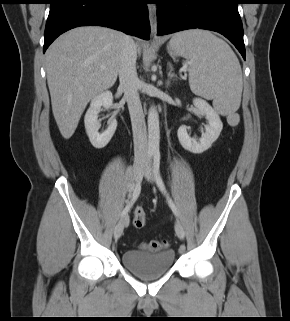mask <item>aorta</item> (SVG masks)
I'll list each match as a JSON object with an SVG mask.
<instances>
[{
    "label": "aorta",
    "instance_id": "1",
    "mask_svg": "<svg viewBox=\"0 0 290 321\" xmlns=\"http://www.w3.org/2000/svg\"><path fill=\"white\" fill-rule=\"evenodd\" d=\"M160 128L159 114L155 106H151L148 112V147L151 151L159 150Z\"/></svg>",
    "mask_w": 290,
    "mask_h": 321
}]
</instances>
